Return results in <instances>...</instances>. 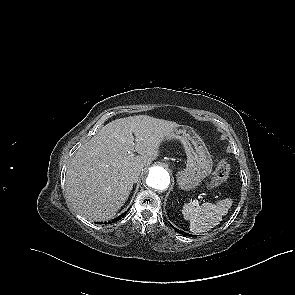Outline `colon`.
Segmentation results:
<instances>
[{
    "label": "colon",
    "instance_id": "colon-1",
    "mask_svg": "<svg viewBox=\"0 0 295 295\" xmlns=\"http://www.w3.org/2000/svg\"><path fill=\"white\" fill-rule=\"evenodd\" d=\"M230 174V164L228 161L223 160L218 163L216 166V169L213 173V176L211 177L208 187L209 188H216L220 186L222 183H224Z\"/></svg>",
    "mask_w": 295,
    "mask_h": 295
}]
</instances>
